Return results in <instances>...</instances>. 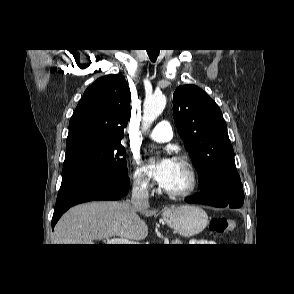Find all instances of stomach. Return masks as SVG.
Segmentation results:
<instances>
[{"mask_svg": "<svg viewBox=\"0 0 294 294\" xmlns=\"http://www.w3.org/2000/svg\"><path fill=\"white\" fill-rule=\"evenodd\" d=\"M163 218L169 227L184 237L199 234L208 224L207 213L195 205L167 208Z\"/></svg>", "mask_w": 294, "mask_h": 294, "instance_id": "0dacf381", "label": "stomach"}]
</instances>
